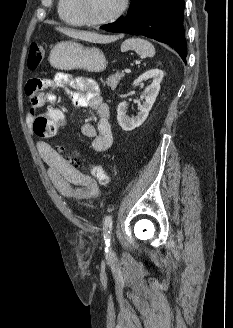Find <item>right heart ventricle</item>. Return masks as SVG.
I'll use <instances>...</instances> for the list:
<instances>
[{"label": "right heart ventricle", "mask_w": 233, "mask_h": 328, "mask_svg": "<svg viewBox=\"0 0 233 328\" xmlns=\"http://www.w3.org/2000/svg\"><path fill=\"white\" fill-rule=\"evenodd\" d=\"M58 14L60 19L68 25H85V22L76 9V0H59Z\"/></svg>", "instance_id": "obj_1"}]
</instances>
